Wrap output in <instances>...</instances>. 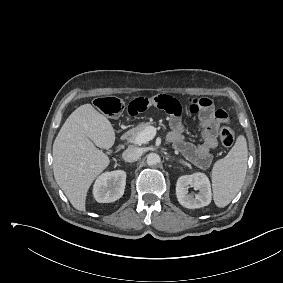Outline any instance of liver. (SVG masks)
I'll return each mask as SVG.
<instances>
[{"label":"liver","mask_w":283,"mask_h":283,"mask_svg":"<svg viewBox=\"0 0 283 283\" xmlns=\"http://www.w3.org/2000/svg\"><path fill=\"white\" fill-rule=\"evenodd\" d=\"M114 142L110 121L91 104L78 107L61 127L53 144V172L75 209L85 211L89 187L110 163L97 147L109 149Z\"/></svg>","instance_id":"6515ba94"}]
</instances>
